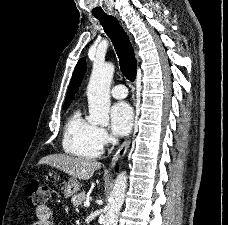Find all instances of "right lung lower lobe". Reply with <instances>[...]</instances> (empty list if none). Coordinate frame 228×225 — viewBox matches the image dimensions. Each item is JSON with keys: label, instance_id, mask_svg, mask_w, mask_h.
I'll use <instances>...</instances> for the list:
<instances>
[{"label": "right lung lower lobe", "instance_id": "1", "mask_svg": "<svg viewBox=\"0 0 228 225\" xmlns=\"http://www.w3.org/2000/svg\"><path fill=\"white\" fill-rule=\"evenodd\" d=\"M118 170V166H116V171Z\"/></svg>", "mask_w": 228, "mask_h": 225}]
</instances>
